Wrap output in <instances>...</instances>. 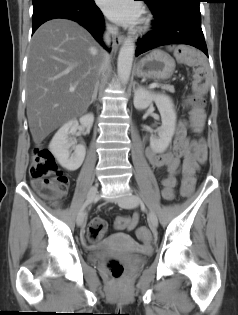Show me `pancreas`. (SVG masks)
<instances>
[{
	"label": "pancreas",
	"mask_w": 238,
	"mask_h": 315,
	"mask_svg": "<svg viewBox=\"0 0 238 315\" xmlns=\"http://www.w3.org/2000/svg\"><path fill=\"white\" fill-rule=\"evenodd\" d=\"M160 87H161L162 90H167V91H169L171 93L175 92L174 86H172V85H165L164 84V85H161Z\"/></svg>",
	"instance_id": "pancreas-1"
}]
</instances>
